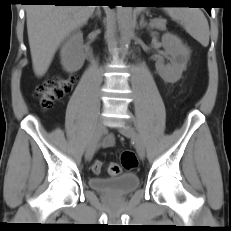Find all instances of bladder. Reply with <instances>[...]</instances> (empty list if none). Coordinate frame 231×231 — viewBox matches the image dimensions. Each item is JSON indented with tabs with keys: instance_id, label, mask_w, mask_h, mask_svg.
Masks as SVG:
<instances>
[{
	"instance_id": "bladder-1",
	"label": "bladder",
	"mask_w": 231,
	"mask_h": 231,
	"mask_svg": "<svg viewBox=\"0 0 231 231\" xmlns=\"http://www.w3.org/2000/svg\"><path fill=\"white\" fill-rule=\"evenodd\" d=\"M89 187L106 196L124 197L131 194L139 185V177L135 173H125L111 178L91 177Z\"/></svg>"
}]
</instances>
